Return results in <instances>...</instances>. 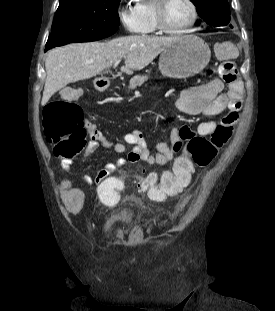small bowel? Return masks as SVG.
<instances>
[{"mask_svg":"<svg viewBox=\"0 0 275 311\" xmlns=\"http://www.w3.org/2000/svg\"><path fill=\"white\" fill-rule=\"evenodd\" d=\"M222 53H227L229 58H237L239 53L232 43H224L221 47ZM224 84L221 80L215 78L207 83L191 87L185 90L177 102V108L186 114L214 116L224 111V119L238 118L241 108L243 86L241 81L236 77L233 81L227 83V92L222 93ZM221 123V122H220ZM217 123L212 121H202L195 128L189 126L174 127L170 133V144L166 142H158L155 145V151L151 152L141 131L133 130L124 135V142L133 145V150L129 151V160L143 161L149 165H165L170 162L174 156L180 151L182 145L192 135H208L216 127ZM90 140L87 148L83 152L84 156L91 155L98 148L103 147L110 149L118 154L126 152V145L122 142H116L107 139L95 126H89ZM126 160L124 158H115L107 162L97 173L94 182L102 183L103 178L112 175L116 170L124 166ZM62 166L69 171L72 162L63 160ZM83 180L91 184L92 179L84 176ZM60 189L66 194L61 195L64 201L66 212L71 216H78L79 213L85 212L83 204V191L81 187H73L72 183L65 181L60 184Z\"/></svg>","mask_w":275,"mask_h":311,"instance_id":"c3829d8e","label":"small bowel"}]
</instances>
